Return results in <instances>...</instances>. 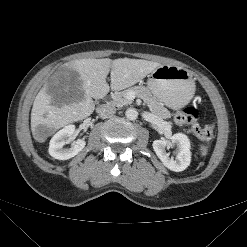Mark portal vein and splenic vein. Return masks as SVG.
Instances as JSON below:
<instances>
[{"label":"portal vein and splenic vein","instance_id":"18ae733b","mask_svg":"<svg viewBox=\"0 0 247 247\" xmlns=\"http://www.w3.org/2000/svg\"><path fill=\"white\" fill-rule=\"evenodd\" d=\"M133 98H135V96H130V99H133Z\"/></svg>","mask_w":247,"mask_h":247}]
</instances>
